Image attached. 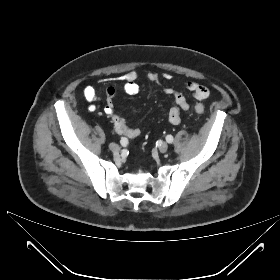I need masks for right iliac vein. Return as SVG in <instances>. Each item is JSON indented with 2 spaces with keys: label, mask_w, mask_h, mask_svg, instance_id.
I'll return each mask as SVG.
<instances>
[{
  "label": "right iliac vein",
  "mask_w": 280,
  "mask_h": 280,
  "mask_svg": "<svg viewBox=\"0 0 280 280\" xmlns=\"http://www.w3.org/2000/svg\"><path fill=\"white\" fill-rule=\"evenodd\" d=\"M109 149H110L111 151H113V152H117V151H119L120 147H119L117 144H115V143H111V144L109 145Z\"/></svg>",
  "instance_id": "63e3f726"
}]
</instances>
